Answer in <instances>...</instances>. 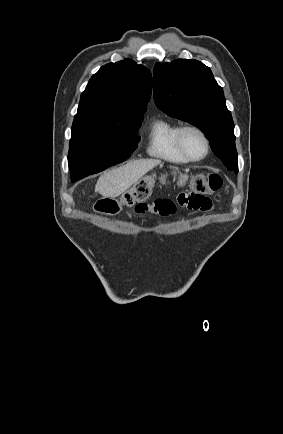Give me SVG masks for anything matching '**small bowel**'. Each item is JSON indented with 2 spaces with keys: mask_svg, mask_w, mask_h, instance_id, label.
Listing matches in <instances>:
<instances>
[{
  "mask_svg": "<svg viewBox=\"0 0 283 434\" xmlns=\"http://www.w3.org/2000/svg\"><path fill=\"white\" fill-rule=\"evenodd\" d=\"M177 206L185 207L194 211H208L211 209L212 203L204 194L197 192H183L177 196L176 200L158 198L151 203H138L134 210L140 215L150 213L168 216L176 212Z\"/></svg>",
  "mask_w": 283,
  "mask_h": 434,
  "instance_id": "obj_1",
  "label": "small bowel"
}]
</instances>
